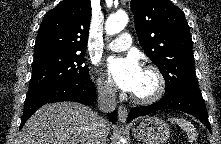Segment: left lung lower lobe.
Instances as JSON below:
<instances>
[{
	"instance_id": "1",
	"label": "left lung lower lobe",
	"mask_w": 221,
	"mask_h": 144,
	"mask_svg": "<svg viewBox=\"0 0 221 144\" xmlns=\"http://www.w3.org/2000/svg\"><path fill=\"white\" fill-rule=\"evenodd\" d=\"M163 109H175L191 114L198 118L209 130H211L202 95H195L187 92L164 95L161 100L154 104L135 107L130 111L127 121L129 122L136 117L148 115Z\"/></svg>"
}]
</instances>
